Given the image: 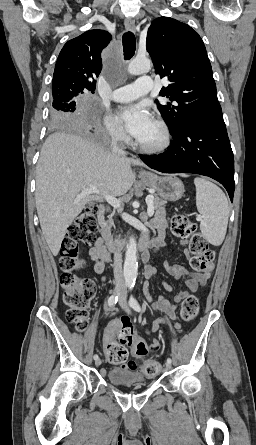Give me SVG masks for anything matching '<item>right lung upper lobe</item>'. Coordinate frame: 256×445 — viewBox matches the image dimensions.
<instances>
[{
  "label": "right lung upper lobe",
  "mask_w": 256,
  "mask_h": 445,
  "mask_svg": "<svg viewBox=\"0 0 256 445\" xmlns=\"http://www.w3.org/2000/svg\"><path fill=\"white\" fill-rule=\"evenodd\" d=\"M111 35L104 30H89L69 40L62 48L55 65L52 93H94L95 78L101 72V52Z\"/></svg>",
  "instance_id": "right-lung-upper-lobe-1"
}]
</instances>
